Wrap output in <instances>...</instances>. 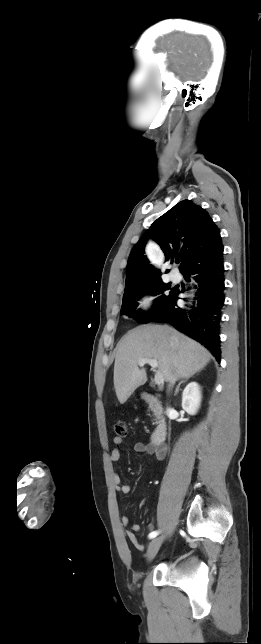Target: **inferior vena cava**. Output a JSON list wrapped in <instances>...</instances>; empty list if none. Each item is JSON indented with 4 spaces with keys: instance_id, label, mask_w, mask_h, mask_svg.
Here are the masks:
<instances>
[{
    "instance_id": "1",
    "label": "inferior vena cava",
    "mask_w": 261,
    "mask_h": 644,
    "mask_svg": "<svg viewBox=\"0 0 261 644\" xmlns=\"http://www.w3.org/2000/svg\"><path fill=\"white\" fill-rule=\"evenodd\" d=\"M174 381H175V380L173 379L171 382H172V383H174ZM170 386H171V385H170Z\"/></svg>"
}]
</instances>
